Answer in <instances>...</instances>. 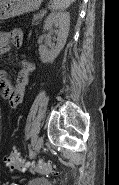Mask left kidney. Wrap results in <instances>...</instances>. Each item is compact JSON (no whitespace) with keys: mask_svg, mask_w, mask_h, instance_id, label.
I'll list each match as a JSON object with an SVG mask.
<instances>
[{"mask_svg":"<svg viewBox=\"0 0 119 185\" xmlns=\"http://www.w3.org/2000/svg\"><path fill=\"white\" fill-rule=\"evenodd\" d=\"M69 26L70 14L68 12H52L47 16L44 30H53V27H55L54 33L57 36V43L51 50H48L46 47H39L40 60L43 63H52L59 55L66 44Z\"/></svg>","mask_w":119,"mask_h":185,"instance_id":"obj_1","label":"left kidney"}]
</instances>
